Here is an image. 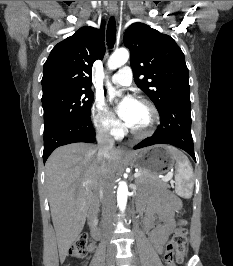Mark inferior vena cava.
Instances as JSON below:
<instances>
[{"label": "inferior vena cava", "mask_w": 233, "mask_h": 266, "mask_svg": "<svg viewBox=\"0 0 233 266\" xmlns=\"http://www.w3.org/2000/svg\"><path fill=\"white\" fill-rule=\"evenodd\" d=\"M98 142L97 158L104 163L109 159L110 151L114 146V139L110 135L109 126H99L96 131ZM103 175L99 183V193L102 197V219L103 225L107 230H111L115 217V195L113 190V177L105 173L104 165L102 166Z\"/></svg>", "instance_id": "inferior-vena-cava-1"}]
</instances>
